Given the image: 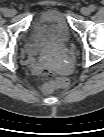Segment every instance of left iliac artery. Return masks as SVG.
<instances>
[{
    "instance_id": "obj_1",
    "label": "left iliac artery",
    "mask_w": 104,
    "mask_h": 137,
    "mask_svg": "<svg viewBox=\"0 0 104 137\" xmlns=\"http://www.w3.org/2000/svg\"><path fill=\"white\" fill-rule=\"evenodd\" d=\"M89 8L91 11H94L96 9L95 5H90Z\"/></svg>"
}]
</instances>
